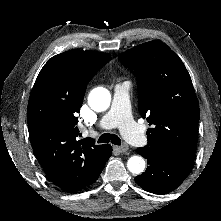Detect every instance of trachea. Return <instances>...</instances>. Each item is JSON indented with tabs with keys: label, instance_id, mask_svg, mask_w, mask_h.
Listing matches in <instances>:
<instances>
[{
	"label": "trachea",
	"instance_id": "1",
	"mask_svg": "<svg viewBox=\"0 0 221 221\" xmlns=\"http://www.w3.org/2000/svg\"><path fill=\"white\" fill-rule=\"evenodd\" d=\"M108 142H111L112 144L115 145H121L120 138L115 134L104 133L98 139V143H108Z\"/></svg>",
	"mask_w": 221,
	"mask_h": 221
}]
</instances>
